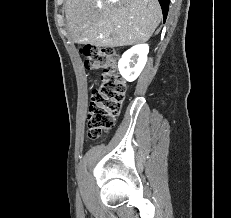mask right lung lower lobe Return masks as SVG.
<instances>
[{
    "instance_id": "98d812e1",
    "label": "right lung lower lobe",
    "mask_w": 231,
    "mask_h": 218,
    "mask_svg": "<svg viewBox=\"0 0 231 218\" xmlns=\"http://www.w3.org/2000/svg\"><path fill=\"white\" fill-rule=\"evenodd\" d=\"M161 8H162V12H163V19L164 21L166 20L167 14H168V8H169V1L170 0H158Z\"/></svg>"
}]
</instances>
